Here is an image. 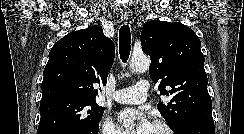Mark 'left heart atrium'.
<instances>
[{
	"label": "left heart atrium",
	"mask_w": 244,
	"mask_h": 134,
	"mask_svg": "<svg viewBox=\"0 0 244 134\" xmlns=\"http://www.w3.org/2000/svg\"><path fill=\"white\" fill-rule=\"evenodd\" d=\"M119 121L126 123L134 121V128L131 134H150L153 124L148 117L135 109L123 110L118 114Z\"/></svg>",
	"instance_id": "obj_1"
}]
</instances>
